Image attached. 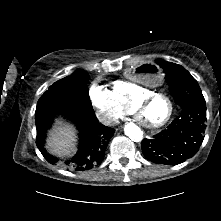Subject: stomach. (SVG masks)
<instances>
[{
    "instance_id": "obj_1",
    "label": "stomach",
    "mask_w": 221,
    "mask_h": 221,
    "mask_svg": "<svg viewBox=\"0 0 221 221\" xmlns=\"http://www.w3.org/2000/svg\"><path fill=\"white\" fill-rule=\"evenodd\" d=\"M165 73V66L159 60H152L143 65H134L128 71V78L134 84H144L147 87L156 86Z\"/></svg>"
}]
</instances>
